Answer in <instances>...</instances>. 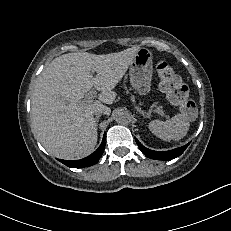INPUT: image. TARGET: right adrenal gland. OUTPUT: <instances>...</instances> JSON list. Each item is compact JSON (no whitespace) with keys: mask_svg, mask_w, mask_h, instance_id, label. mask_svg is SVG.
Listing matches in <instances>:
<instances>
[{"mask_svg":"<svg viewBox=\"0 0 231 231\" xmlns=\"http://www.w3.org/2000/svg\"><path fill=\"white\" fill-rule=\"evenodd\" d=\"M101 115H97L96 118H95V121H96V128L98 127V123H99V118H100Z\"/></svg>","mask_w":231,"mask_h":231,"instance_id":"1","label":"right adrenal gland"}]
</instances>
